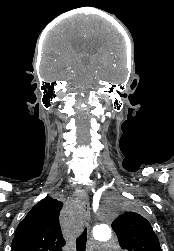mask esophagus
Here are the masks:
<instances>
[{
	"label": "esophagus",
	"mask_w": 174,
	"mask_h": 251,
	"mask_svg": "<svg viewBox=\"0 0 174 251\" xmlns=\"http://www.w3.org/2000/svg\"><path fill=\"white\" fill-rule=\"evenodd\" d=\"M81 216L84 222L89 220L90 217V202L87 193H83L81 196Z\"/></svg>",
	"instance_id": "1"
}]
</instances>
